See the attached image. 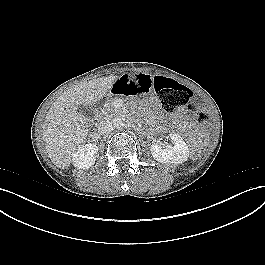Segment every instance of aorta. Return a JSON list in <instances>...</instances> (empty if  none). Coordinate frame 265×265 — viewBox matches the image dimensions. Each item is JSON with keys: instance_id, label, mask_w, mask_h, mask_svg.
<instances>
[{"instance_id": "aorta-1", "label": "aorta", "mask_w": 265, "mask_h": 265, "mask_svg": "<svg viewBox=\"0 0 265 265\" xmlns=\"http://www.w3.org/2000/svg\"><path fill=\"white\" fill-rule=\"evenodd\" d=\"M113 125L115 128L117 129H123L125 127V122H124V119L121 118L120 116H116L114 119H113Z\"/></svg>"}]
</instances>
